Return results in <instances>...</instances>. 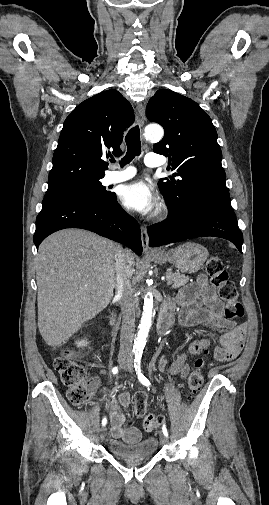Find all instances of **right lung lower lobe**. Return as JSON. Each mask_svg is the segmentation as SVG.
<instances>
[{"label":"right lung lower lobe","instance_id":"1","mask_svg":"<svg viewBox=\"0 0 269 505\" xmlns=\"http://www.w3.org/2000/svg\"><path fill=\"white\" fill-rule=\"evenodd\" d=\"M65 228L95 232L142 254L140 226L121 208L115 193L105 201L73 194L44 198L33 236L36 248L48 235Z\"/></svg>","mask_w":269,"mask_h":505}]
</instances>
